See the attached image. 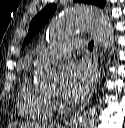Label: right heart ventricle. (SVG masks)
Returning <instances> with one entry per match:
<instances>
[{"label": "right heart ventricle", "mask_w": 125, "mask_h": 128, "mask_svg": "<svg viewBox=\"0 0 125 128\" xmlns=\"http://www.w3.org/2000/svg\"><path fill=\"white\" fill-rule=\"evenodd\" d=\"M18 108L23 117L40 122L50 120L54 110L50 98L32 84L29 76L21 84Z\"/></svg>", "instance_id": "e07e8e85"}]
</instances>
